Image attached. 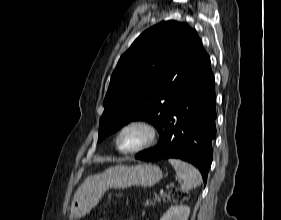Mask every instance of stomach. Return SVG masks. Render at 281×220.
<instances>
[{"label": "stomach", "instance_id": "0dacf381", "mask_svg": "<svg viewBox=\"0 0 281 220\" xmlns=\"http://www.w3.org/2000/svg\"><path fill=\"white\" fill-rule=\"evenodd\" d=\"M163 177L162 170L153 164L118 165L87 177L78 187L70 209V220L81 218L93 209L108 189L131 186L151 187Z\"/></svg>", "mask_w": 281, "mask_h": 220}]
</instances>
